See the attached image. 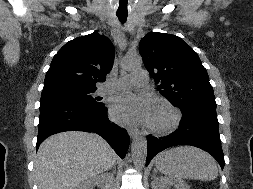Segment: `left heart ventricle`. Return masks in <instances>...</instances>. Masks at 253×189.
<instances>
[{
	"label": "left heart ventricle",
	"mask_w": 253,
	"mask_h": 189,
	"mask_svg": "<svg viewBox=\"0 0 253 189\" xmlns=\"http://www.w3.org/2000/svg\"><path fill=\"white\" fill-rule=\"evenodd\" d=\"M168 119V113L165 110L154 109L151 122L154 124H163Z\"/></svg>",
	"instance_id": "b2bd125f"
}]
</instances>
